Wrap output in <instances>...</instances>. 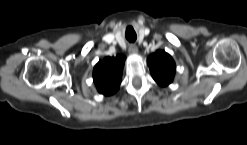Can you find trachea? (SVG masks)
<instances>
[{
    "instance_id": "trachea-1",
    "label": "trachea",
    "mask_w": 247,
    "mask_h": 145,
    "mask_svg": "<svg viewBox=\"0 0 247 145\" xmlns=\"http://www.w3.org/2000/svg\"><path fill=\"white\" fill-rule=\"evenodd\" d=\"M135 40H136V36L128 38V41L132 43L135 42Z\"/></svg>"
}]
</instances>
